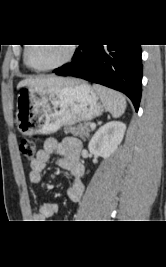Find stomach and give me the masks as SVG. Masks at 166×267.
Wrapping results in <instances>:
<instances>
[{
	"label": "stomach",
	"mask_w": 166,
	"mask_h": 267,
	"mask_svg": "<svg viewBox=\"0 0 166 267\" xmlns=\"http://www.w3.org/2000/svg\"><path fill=\"white\" fill-rule=\"evenodd\" d=\"M105 106L85 82L62 87H26L17 98L16 124L23 136L53 134L62 126L90 121Z\"/></svg>",
	"instance_id": "obj_1"
}]
</instances>
